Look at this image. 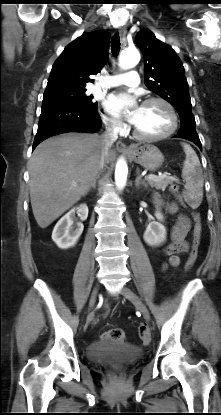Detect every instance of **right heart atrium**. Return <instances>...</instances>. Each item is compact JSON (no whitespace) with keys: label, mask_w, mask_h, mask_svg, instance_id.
Returning a JSON list of instances; mask_svg holds the SVG:
<instances>
[{"label":"right heart atrium","mask_w":221,"mask_h":415,"mask_svg":"<svg viewBox=\"0 0 221 415\" xmlns=\"http://www.w3.org/2000/svg\"><path fill=\"white\" fill-rule=\"evenodd\" d=\"M102 121L108 132L117 135L124 131V124L117 118L108 115L106 113L102 114Z\"/></svg>","instance_id":"1"}]
</instances>
